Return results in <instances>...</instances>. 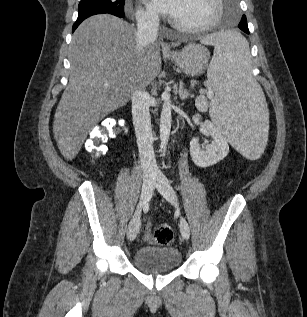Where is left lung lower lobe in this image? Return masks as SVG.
Returning <instances> with one entry per match:
<instances>
[{
	"instance_id": "obj_1",
	"label": "left lung lower lobe",
	"mask_w": 307,
	"mask_h": 317,
	"mask_svg": "<svg viewBox=\"0 0 307 317\" xmlns=\"http://www.w3.org/2000/svg\"><path fill=\"white\" fill-rule=\"evenodd\" d=\"M245 16V15H244ZM246 17V16H245ZM239 28L244 31L245 33L249 34V29H248V25H247V20H242L239 23Z\"/></svg>"
}]
</instances>
